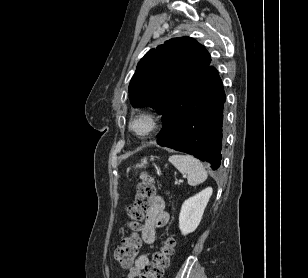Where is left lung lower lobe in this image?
Segmentation results:
<instances>
[{
  "mask_svg": "<svg viewBox=\"0 0 308 278\" xmlns=\"http://www.w3.org/2000/svg\"><path fill=\"white\" fill-rule=\"evenodd\" d=\"M222 81L213 66L193 78L163 113L158 144L221 164L223 105Z\"/></svg>",
  "mask_w": 308,
  "mask_h": 278,
  "instance_id": "left-lung-lower-lobe-1",
  "label": "left lung lower lobe"
}]
</instances>
